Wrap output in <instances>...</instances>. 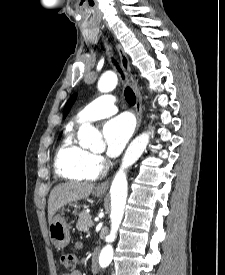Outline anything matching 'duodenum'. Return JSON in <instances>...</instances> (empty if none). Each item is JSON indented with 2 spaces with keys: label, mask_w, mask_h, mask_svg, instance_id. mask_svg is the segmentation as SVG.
I'll list each match as a JSON object with an SVG mask.
<instances>
[{
  "label": "duodenum",
  "mask_w": 225,
  "mask_h": 275,
  "mask_svg": "<svg viewBox=\"0 0 225 275\" xmlns=\"http://www.w3.org/2000/svg\"><path fill=\"white\" fill-rule=\"evenodd\" d=\"M96 254H93L92 260H91V270L93 273L97 271V261H96Z\"/></svg>",
  "instance_id": "410a0bca"
}]
</instances>
